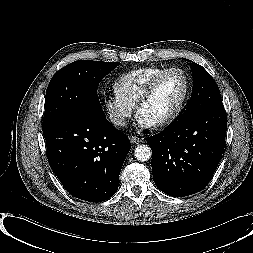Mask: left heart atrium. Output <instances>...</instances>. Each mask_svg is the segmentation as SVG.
<instances>
[{"label": "left heart atrium", "mask_w": 253, "mask_h": 253, "mask_svg": "<svg viewBox=\"0 0 253 253\" xmlns=\"http://www.w3.org/2000/svg\"><path fill=\"white\" fill-rule=\"evenodd\" d=\"M137 123L141 129H147L153 126V123L142 115H137Z\"/></svg>", "instance_id": "left-heart-atrium-1"}]
</instances>
